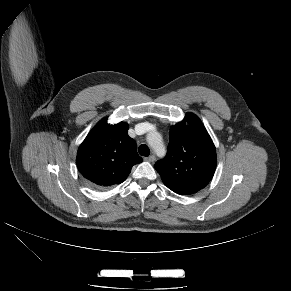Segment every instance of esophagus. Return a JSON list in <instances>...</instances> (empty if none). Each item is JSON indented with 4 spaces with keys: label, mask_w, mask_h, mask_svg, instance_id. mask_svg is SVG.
Listing matches in <instances>:
<instances>
[{
    "label": "esophagus",
    "mask_w": 291,
    "mask_h": 291,
    "mask_svg": "<svg viewBox=\"0 0 291 291\" xmlns=\"http://www.w3.org/2000/svg\"><path fill=\"white\" fill-rule=\"evenodd\" d=\"M144 160L153 163L156 158L154 155H150L149 157L144 158Z\"/></svg>",
    "instance_id": "esophagus-1"
}]
</instances>
